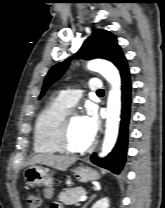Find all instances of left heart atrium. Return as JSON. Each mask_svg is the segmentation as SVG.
Here are the masks:
<instances>
[{
  "mask_svg": "<svg viewBox=\"0 0 165 208\" xmlns=\"http://www.w3.org/2000/svg\"><path fill=\"white\" fill-rule=\"evenodd\" d=\"M84 128L88 136L93 140L97 134L99 121L93 108H88L86 114L82 117Z\"/></svg>",
  "mask_w": 165,
  "mask_h": 208,
  "instance_id": "39dd6f15",
  "label": "left heart atrium"
}]
</instances>
